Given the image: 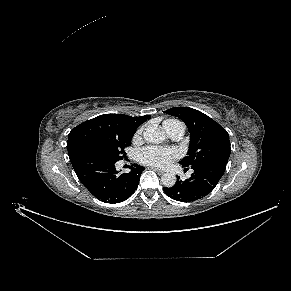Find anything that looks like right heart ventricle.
<instances>
[{"label": "right heart ventricle", "instance_id": "obj_1", "mask_svg": "<svg viewBox=\"0 0 291 291\" xmlns=\"http://www.w3.org/2000/svg\"><path fill=\"white\" fill-rule=\"evenodd\" d=\"M175 123H181V122H179L177 120H166L163 123V127H164V129H166L168 126L175 124Z\"/></svg>", "mask_w": 291, "mask_h": 291}]
</instances>
